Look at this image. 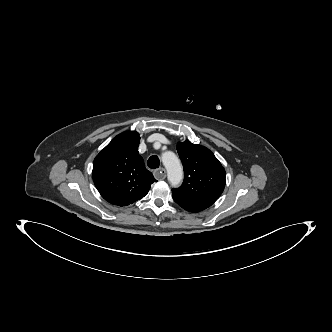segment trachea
Masks as SVG:
<instances>
[{
	"label": "trachea",
	"instance_id": "1",
	"mask_svg": "<svg viewBox=\"0 0 332 332\" xmlns=\"http://www.w3.org/2000/svg\"><path fill=\"white\" fill-rule=\"evenodd\" d=\"M147 165L151 169H156L159 167V158L156 155L151 156L148 161Z\"/></svg>",
	"mask_w": 332,
	"mask_h": 332
}]
</instances>
